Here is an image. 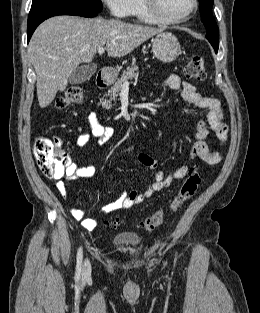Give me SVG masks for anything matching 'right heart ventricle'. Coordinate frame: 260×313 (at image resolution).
I'll list each match as a JSON object with an SVG mask.
<instances>
[{
    "label": "right heart ventricle",
    "instance_id": "right-heart-ventricle-1",
    "mask_svg": "<svg viewBox=\"0 0 260 313\" xmlns=\"http://www.w3.org/2000/svg\"><path fill=\"white\" fill-rule=\"evenodd\" d=\"M139 21L144 23H154V21L145 12L141 0H133L131 6V14Z\"/></svg>",
    "mask_w": 260,
    "mask_h": 313
}]
</instances>
